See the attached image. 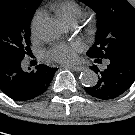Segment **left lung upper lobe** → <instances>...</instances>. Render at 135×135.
Instances as JSON below:
<instances>
[{"instance_id":"left-lung-upper-lobe-1","label":"left lung upper lobe","mask_w":135,"mask_h":135,"mask_svg":"<svg viewBox=\"0 0 135 135\" xmlns=\"http://www.w3.org/2000/svg\"><path fill=\"white\" fill-rule=\"evenodd\" d=\"M97 13L91 58L111 55L135 56V8L126 0H79Z\"/></svg>"}]
</instances>
